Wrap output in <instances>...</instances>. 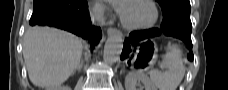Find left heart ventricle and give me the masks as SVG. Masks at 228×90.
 Listing matches in <instances>:
<instances>
[{
	"label": "left heart ventricle",
	"mask_w": 228,
	"mask_h": 90,
	"mask_svg": "<svg viewBox=\"0 0 228 90\" xmlns=\"http://www.w3.org/2000/svg\"><path fill=\"white\" fill-rule=\"evenodd\" d=\"M123 18L132 25L148 23L153 18L152 7L144 1H135L124 5Z\"/></svg>",
	"instance_id": "1"
}]
</instances>
